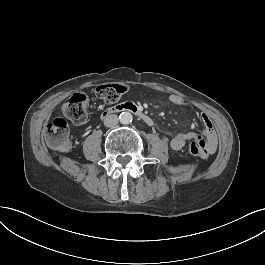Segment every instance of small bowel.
I'll return each instance as SVG.
<instances>
[{"label":"small bowel","instance_id":"small-bowel-1","mask_svg":"<svg viewBox=\"0 0 265 265\" xmlns=\"http://www.w3.org/2000/svg\"><path fill=\"white\" fill-rule=\"evenodd\" d=\"M170 102L176 106H185L186 101L180 95L173 94L170 96ZM199 120L203 125V134L206 137H203L200 133H179L172 138L170 141V146L173 150H181L186 144L194 138L199 145L201 146L202 156L205 159H208L211 154H213L216 150V135L214 131V126L211 118L205 114L201 113L199 116Z\"/></svg>","mask_w":265,"mask_h":265}]
</instances>
